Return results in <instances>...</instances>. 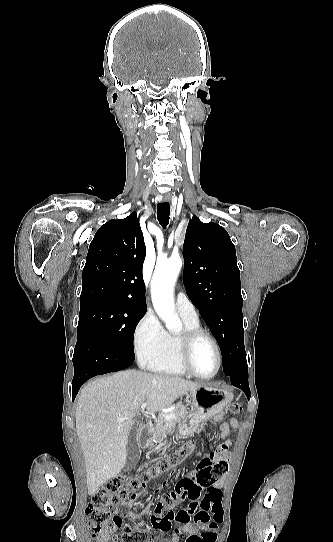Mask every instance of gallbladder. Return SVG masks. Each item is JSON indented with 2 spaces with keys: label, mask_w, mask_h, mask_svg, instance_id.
<instances>
[{
  "label": "gallbladder",
  "mask_w": 333,
  "mask_h": 542,
  "mask_svg": "<svg viewBox=\"0 0 333 542\" xmlns=\"http://www.w3.org/2000/svg\"><path fill=\"white\" fill-rule=\"evenodd\" d=\"M137 428L130 430L128 444H127V460L124 466V472H130L135 468L137 462L140 460L141 450L137 440Z\"/></svg>",
  "instance_id": "bac80fb5"
}]
</instances>
